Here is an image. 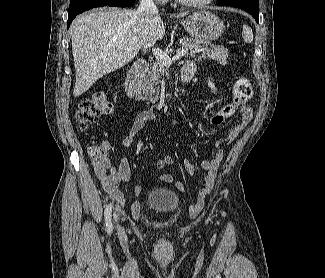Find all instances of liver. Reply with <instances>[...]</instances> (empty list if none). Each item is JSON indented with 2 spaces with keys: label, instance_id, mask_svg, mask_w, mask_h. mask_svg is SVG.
I'll return each instance as SVG.
<instances>
[{
  "label": "liver",
  "instance_id": "obj_1",
  "mask_svg": "<svg viewBox=\"0 0 325 278\" xmlns=\"http://www.w3.org/2000/svg\"><path fill=\"white\" fill-rule=\"evenodd\" d=\"M164 35L158 12L146 15L138 9L104 8L81 15L71 35L76 70L74 97L85 93L104 75L128 64L142 46L152 45Z\"/></svg>",
  "mask_w": 325,
  "mask_h": 278
}]
</instances>
